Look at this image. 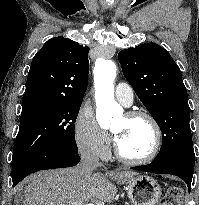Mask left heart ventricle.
Listing matches in <instances>:
<instances>
[{
	"label": "left heart ventricle",
	"mask_w": 199,
	"mask_h": 205,
	"mask_svg": "<svg viewBox=\"0 0 199 205\" xmlns=\"http://www.w3.org/2000/svg\"><path fill=\"white\" fill-rule=\"evenodd\" d=\"M111 129L122 152L129 157L145 156L153 144V131L143 118H127L125 114L117 117Z\"/></svg>",
	"instance_id": "b2bd125f"
}]
</instances>
